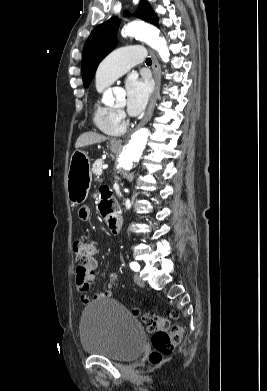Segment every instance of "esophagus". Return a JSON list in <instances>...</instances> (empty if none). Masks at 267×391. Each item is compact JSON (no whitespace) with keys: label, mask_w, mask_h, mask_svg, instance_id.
Masks as SVG:
<instances>
[{"label":"esophagus","mask_w":267,"mask_h":391,"mask_svg":"<svg viewBox=\"0 0 267 391\" xmlns=\"http://www.w3.org/2000/svg\"><path fill=\"white\" fill-rule=\"evenodd\" d=\"M152 68H153L154 79H155V90H154L153 95L151 97L148 110H147L143 120L138 124V126H137L138 128L143 126L144 124H146L150 120V118L153 114V110H154V106H155V102H156V96L159 92L160 85H161V68H160V64H159L154 53H152ZM114 145L121 146L122 140L115 141Z\"/></svg>","instance_id":"esophagus-1"}]
</instances>
